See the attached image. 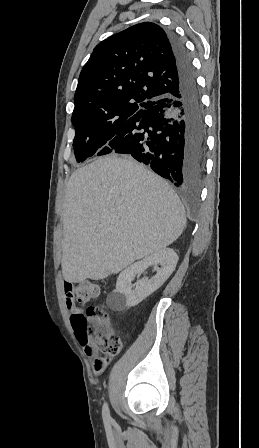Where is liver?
I'll list each match as a JSON object with an SVG mask.
<instances>
[{
	"mask_svg": "<svg viewBox=\"0 0 259 448\" xmlns=\"http://www.w3.org/2000/svg\"><path fill=\"white\" fill-rule=\"evenodd\" d=\"M61 220V268L70 284L118 274L170 246L186 226L184 206L167 182L118 154L73 172Z\"/></svg>",
	"mask_w": 259,
	"mask_h": 448,
	"instance_id": "6515ba94",
	"label": "liver"
}]
</instances>
